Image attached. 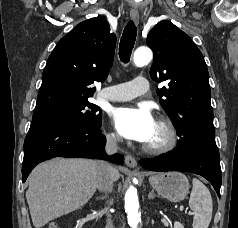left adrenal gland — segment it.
I'll return each instance as SVG.
<instances>
[{
  "label": "left adrenal gland",
  "instance_id": "a2214340",
  "mask_svg": "<svg viewBox=\"0 0 238 228\" xmlns=\"http://www.w3.org/2000/svg\"><path fill=\"white\" fill-rule=\"evenodd\" d=\"M154 197H156V195L154 194V191H150L148 194V199H153Z\"/></svg>",
  "mask_w": 238,
  "mask_h": 228
}]
</instances>
